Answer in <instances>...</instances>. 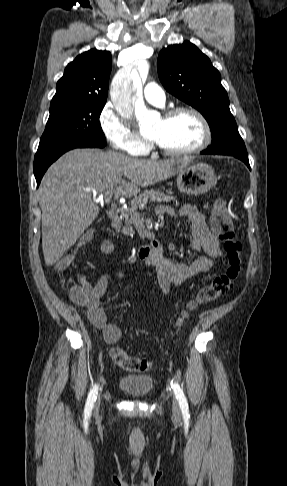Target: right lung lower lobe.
<instances>
[{"label":"right lung lower lobe","instance_id":"98d812e1","mask_svg":"<svg viewBox=\"0 0 287 486\" xmlns=\"http://www.w3.org/2000/svg\"><path fill=\"white\" fill-rule=\"evenodd\" d=\"M88 147L100 148L94 145L80 144V145H71L59 149L36 153L33 169L37 181V186H39L40 181L47 168L62 154L74 148H88Z\"/></svg>","mask_w":287,"mask_h":486}]
</instances>
